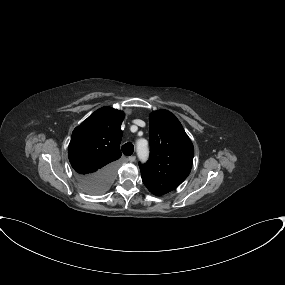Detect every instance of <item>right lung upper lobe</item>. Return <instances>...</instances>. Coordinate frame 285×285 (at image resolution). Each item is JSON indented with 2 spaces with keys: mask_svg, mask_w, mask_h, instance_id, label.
Returning a JSON list of instances; mask_svg holds the SVG:
<instances>
[{
  "mask_svg": "<svg viewBox=\"0 0 285 285\" xmlns=\"http://www.w3.org/2000/svg\"><path fill=\"white\" fill-rule=\"evenodd\" d=\"M123 119L121 111L106 106L74 129L68 158L79 175L93 174L120 158Z\"/></svg>",
  "mask_w": 285,
  "mask_h": 285,
  "instance_id": "1",
  "label": "right lung upper lobe"
}]
</instances>
